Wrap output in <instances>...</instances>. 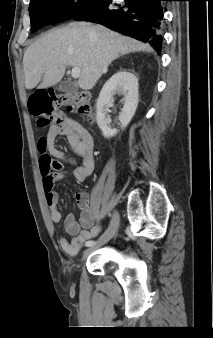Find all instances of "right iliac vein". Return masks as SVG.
Here are the masks:
<instances>
[{"label": "right iliac vein", "mask_w": 213, "mask_h": 338, "mask_svg": "<svg viewBox=\"0 0 213 338\" xmlns=\"http://www.w3.org/2000/svg\"><path fill=\"white\" fill-rule=\"evenodd\" d=\"M119 221H120L119 214L117 212H114L106 232L99 238V240L96 242L95 245L90 246L88 249H86V251L84 252V256H83L84 258L89 253L94 251L96 248L104 245L106 242H108L113 237V235L118 229Z\"/></svg>", "instance_id": "1"}]
</instances>
